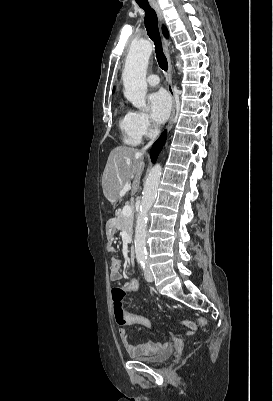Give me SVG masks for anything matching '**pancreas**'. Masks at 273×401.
Masks as SVG:
<instances>
[{"mask_svg": "<svg viewBox=\"0 0 273 401\" xmlns=\"http://www.w3.org/2000/svg\"><path fill=\"white\" fill-rule=\"evenodd\" d=\"M116 217V229H118V231H126L128 235H132L134 221L133 215H130V217H125L123 213H117Z\"/></svg>", "mask_w": 273, "mask_h": 401, "instance_id": "cf45deb5", "label": "pancreas"}]
</instances>
